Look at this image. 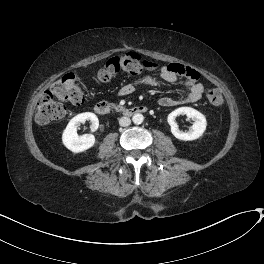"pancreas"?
<instances>
[{"label": "pancreas", "instance_id": "pancreas-1", "mask_svg": "<svg viewBox=\"0 0 264 264\" xmlns=\"http://www.w3.org/2000/svg\"><path fill=\"white\" fill-rule=\"evenodd\" d=\"M113 109H115L116 111H123L124 110V107L121 106V105H116V104H112L111 105Z\"/></svg>", "mask_w": 264, "mask_h": 264}]
</instances>
